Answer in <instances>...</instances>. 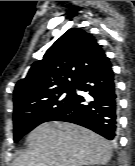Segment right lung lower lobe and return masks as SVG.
Segmentation results:
<instances>
[{
    "label": "right lung lower lobe",
    "mask_w": 135,
    "mask_h": 166,
    "mask_svg": "<svg viewBox=\"0 0 135 166\" xmlns=\"http://www.w3.org/2000/svg\"><path fill=\"white\" fill-rule=\"evenodd\" d=\"M75 88L88 92L93 100L87 103L84 97L75 93L73 103L52 120L75 123L109 140L115 139L118 105L114 73L109 59L84 75Z\"/></svg>",
    "instance_id": "1"
}]
</instances>
